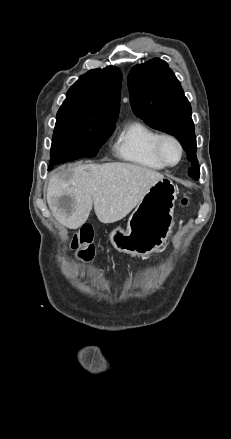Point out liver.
<instances>
[{"label":"liver","instance_id":"obj_1","mask_svg":"<svg viewBox=\"0 0 231 439\" xmlns=\"http://www.w3.org/2000/svg\"><path fill=\"white\" fill-rule=\"evenodd\" d=\"M163 178L150 168L120 162L61 167L50 178L47 203L55 219L69 229L82 226L92 206L100 222L114 223Z\"/></svg>","mask_w":231,"mask_h":439}]
</instances>
